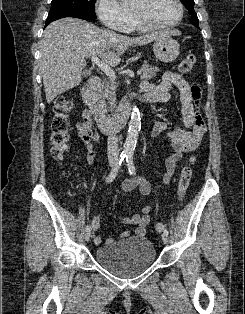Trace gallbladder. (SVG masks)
Here are the masks:
<instances>
[{"label":"gallbladder","instance_id":"gallbladder-1","mask_svg":"<svg viewBox=\"0 0 245 314\" xmlns=\"http://www.w3.org/2000/svg\"><path fill=\"white\" fill-rule=\"evenodd\" d=\"M91 75V71L90 70H84L83 71V76L84 77H88V76H90Z\"/></svg>","mask_w":245,"mask_h":314}]
</instances>
